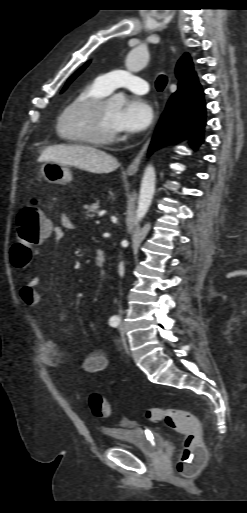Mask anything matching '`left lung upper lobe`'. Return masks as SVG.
Returning a JSON list of instances; mask_svg holds the SVG:
<instances>
[{
  "mask_svg": "<svg viewBox=\"0 0 247 513\" xmlns=\"http://www.w3.org/2000/svg\"><path fill=\"white\" fill-rule=\"evenodd\" d=\"M89 64V62H87L84 66H82L78 71L75 72V74H73L67 81L65 87L63 88V90H65L67 88V86L86 68V66Z\"/></svg>",
  "mask_w": 247,
  "mask_h": 513,
  "instance_id": "1",
  "label": "left lung upper lobe"
}]
</instances>
